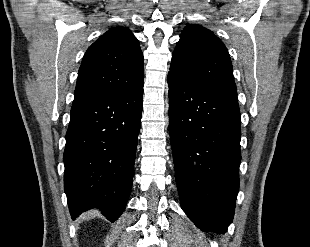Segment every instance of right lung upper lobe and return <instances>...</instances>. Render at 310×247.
I'll return each mask as SVG.
<instances>
[{"mask_svg": "<svg viewBox=\"0 0 310 247\" xmlns=\"http://www.w3.org/2000/svg\"><path fill=\"white\" fill-rule=\"evenodd\" d=\"M143 54L126 27H114L86 51L78 72L75 98L130 91L143 84Z\"/></svg>", "mask_w": 310, "mask_h": 247, "instance_id": "right-lung-upper-lobe-1", "label": "right lung upper lobe"}]
</instances>
